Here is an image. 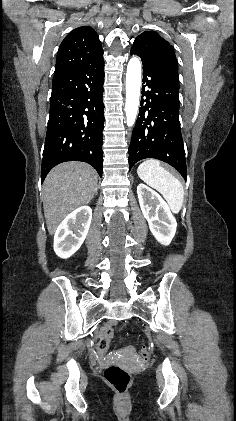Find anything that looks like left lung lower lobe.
<instances>
[{
  "label": "left lung lower lobe",
  "instance_id": "obj_1",
  "mask_svg": "<svg viewBox=\"0 0 236 421\" xmlns=\"http://www.w3.org/2000/svg\"><path fill=\"white\" fill-rule=\"evenodd\" d=\"M143 62L141 108L129 146V170L139 160L156 158L172 165L186 180L185 150L179 121L178 69L131 48ZM145 87L150 90L145 91ZM143 96L146 99H143Z\"/></svg>",
  "mask_w": 236,
  "mask_h": 421
}]
</instances>
